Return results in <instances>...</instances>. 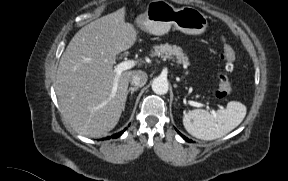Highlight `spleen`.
<instances>
[{
  "mask_svg": "<svg viewBox=\"0 0 288 181\" xmlns=\"http://www.w3.org/2000/svg\"><path fill=\"white\" fill-rule=\"evenodd\" d=\"M246 106L230 101L225 109L208 112L194 109L183 115V125L192 136L202 140H214L223 137L235 129L246 116Z\"/></svg>",
  "mask_w": 288,
  "mask_h": 181,
  "instance_id": "1",
  "label": "spleen"
}]
</instances>
